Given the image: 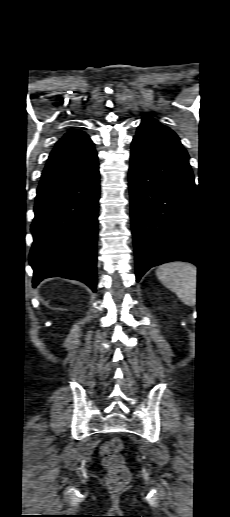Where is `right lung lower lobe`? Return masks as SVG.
Returning a JSON list of instances; mask_svg holds the SVG:
<instances>
[{
  "mask_svg": "<svg viewBox=\"0 0 230 517\" xmlns=\"http://www.w3.org/2000/svg\"><path fill=\"white\" fill-rule=\"evenodd\" d=\"M99 167L40 184L31 225L33 286L49 277L86 283L96 291Z\"/></svg>",
  "mask_w": 230,
  "mask_h": 517,
  "instance_id": "right-lung-lower-lobe-1",
  "label": "right lung lower lobe"
}]
</instances>
